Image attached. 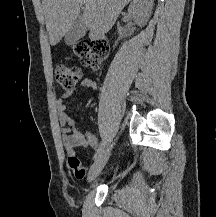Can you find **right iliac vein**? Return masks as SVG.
<instances>
[{"mask_svg": "<svg viewBox=\"0 0 216 217\" xmlns=\"http://www.w3.org/2000/svg\"><path fill=\"white\" fill-rule=\"evenodd\" d=\"M109 154V149H107L96 159L88 173V182H92L101 173L109 158Z\"/></svg>", "mask_w": 216, "mask_h": 217, "instance_id": "right-iliac-vein-1", "label": "right iliac vein"}]
</instances>
